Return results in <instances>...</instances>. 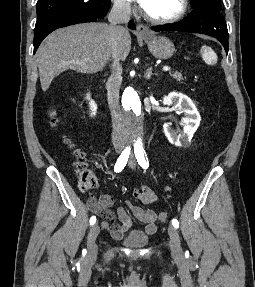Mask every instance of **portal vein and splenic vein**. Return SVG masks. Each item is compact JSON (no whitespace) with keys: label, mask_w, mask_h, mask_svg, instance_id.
<instances>
[{"label":"portal vein and splenic vein","mask_w":255,"mask_h":287,"mask_svg":"<svg viewBox=\"0 0 255 287\" xmlns=\"http://www.w3.org/2000/svg\"><path fill=\"white\" fill-rule=\"evenodd\" d=\"M164 72H167V70H170L169 66H164L163 68Z\"/></svg>","instance_id":"1"}]
</instances>
